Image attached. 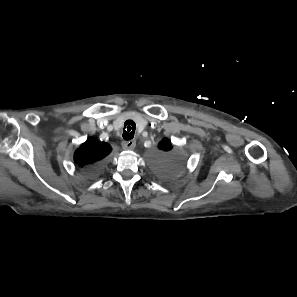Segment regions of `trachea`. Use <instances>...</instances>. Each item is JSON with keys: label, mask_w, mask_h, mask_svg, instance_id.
<instances>
[{"label": "trachea", "mask_w": 297, "mask_h": 297, "mask_svg": "<svg viewBox=\"0 0 297 297\" xmlns=\"http://www.w3.org/2000/svg\"><path fill=\"white\" fill-rule=\"evenodd\" d=\"M135 129H136V124L133 120H127L124 123V129H123V138L125 140H131L134 137L135 134Z\"/></svg>", "instance_id": "1"}]
</instances>
